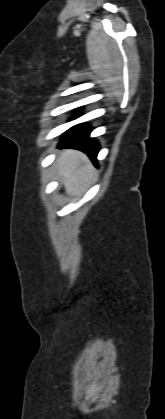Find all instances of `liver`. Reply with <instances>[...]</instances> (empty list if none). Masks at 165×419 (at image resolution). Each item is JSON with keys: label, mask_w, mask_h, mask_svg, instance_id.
<instances>
[{"label": "liver", "mask_w": 165, "mask_h": 419, "mask_svg": "<svg viewBox=\"0 0 165 419\" xmlns=\"http://www.w3.org/2000/svg\"><path fill=\"white\" fill-rule=\"evenodd\" d=\"M59 168V178L62 180L68 194L81 195L85 186L94 179L96 170L88 157L76 150H65L56 161Z\"/></svg>", "instance_id": "1"}]
</instances>
